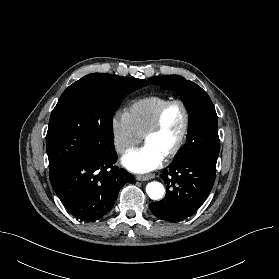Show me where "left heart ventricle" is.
I'll return each mask as SVG.
<instances>
[{
  "instance_id": "b2bd125f",
  "label": "left heart ventricle",
  "mask_w": 279,
  "mask_h": 279,
  "mask_svg": "<svg viewBox=\"0 0 279 279\" xmlns=\"http://www.w3.org/2000/svg\"><path fill=\"white\" fill-rule=\"evenodd\" d=\"M183 123L182 108L178 104L172 105L164 114L160 129L147 138L146 144L165 156L177 143L182 132Z\"/></svg>"
}]
</instances>
